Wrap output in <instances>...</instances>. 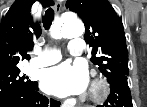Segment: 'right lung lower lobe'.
<instances>
[{"label": "right lung lower lobe", "mask_w": 147, "mask_h": 107, "mask_svg": "<svg viewBox=\"0 0 147 107\" xmlns=\"http://www.w3.org/2000/svg\"><path fill=\"white\" fill-rule=\"evenodd\" d=\"M60 102L41 95L38 84L32 89L23 90L0 99V107H58Z\"/></svg>", "instance_id": "right-lung-lower-lobe-1"}]
</instances>
